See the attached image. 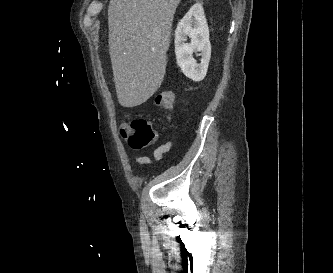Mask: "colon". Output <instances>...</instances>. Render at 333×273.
Instances as JSON below:
<instances>
[{
  "instance_id": "5ec220e1",
  "label": "colon",
  "mask_w": 333,
  "mask_h": 273,
  "mask_svg": "<svg viewBox=\"0 0 333 273\" xmlns=\"http://www.w3.org/2000/svg\"><path fill=\"white\" fill-rule=\"evenodd\" d=\"M155 102L160 109L169 112L174 107V94L170 90H164L157 94ZM120 133L135 150L149 147L156 139V131L152 124L143 118L122 123Z\"/></svg>"
}]
</instances>
